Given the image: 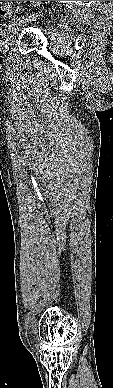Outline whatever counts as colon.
<instances>
[{
	"label": "colon",
	"mask_w": 113,
	"mask_h": 388,
	"mask_svg": "<svg viewBox=\"0 0 113 388\" xmlns=\"http://www.w3.org/2000/svg\"><path fill=\"white\" fill-rule=\"evenodd\" d=\"M14 12L13 6L11 3H4L0 5V15L2 16H11Z\"/></svg>",
	"instance_id": "5ec220e1"
}]
</instances>
